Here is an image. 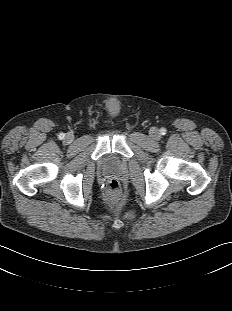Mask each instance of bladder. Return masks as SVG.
I'll list each match as a JSON object with an SVG mask.
<instances>
[{
	"label": "bladder",
	"instance_id": "31cf9c89",
	"mask_svg": "<svg viewBox=\"0 0 232 311\" xmlns=\"http://www.w3.org/2000/svg\"><path fill=\"white\" fill-rule=\"evenodd\" d=\"M104 164L106 168L112 172H117L121 168L120 162L116 159H107Z\"/></svg>",
	"mask_w": 232,
	"mask_h": 311
}]
</instances>
